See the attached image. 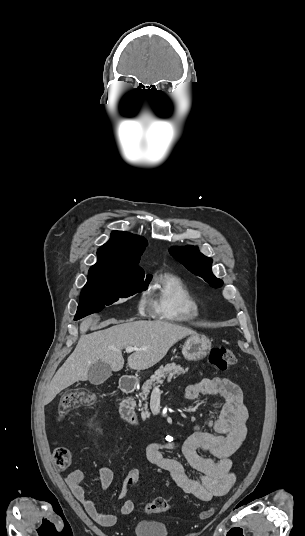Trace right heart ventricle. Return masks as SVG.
Returning a JSON list of instances; mask_svg holds the SVG:
<instances>
[{"mask_svg":"<svg viewBox=\"0 0 305 536\" xmlns=\"http://www.w3.org/2000/svg\"><path fill=\"white\" fill-rule=\"evenodd\" d=\"M149 295L151 304L166 320L192 321L199 317L197 302L184 283L172 274L156 275Z\"/></svg>","mask_w":305,"mask_h":536,"instance_id":"obj_1","label":"right heart ventricle"}]
</instances>
